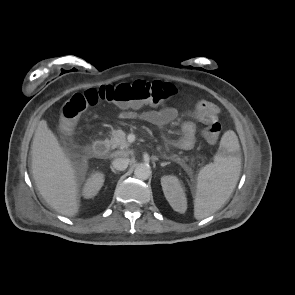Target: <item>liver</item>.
<instances>
[{
    "instance_id": "6515ba94",
    "label": "liver",
    "mask_w": 295,
    "mask_h": 295,
    "mask_svg": "<svg viewBox=\"0 0 295 295\" xmlns=\"http://www.w3.org/2000/svg\"><path fill=\"white\" fill-rule=\"evenodd\" d=\"M31 155L33 179L44 200L64 216L78 214L80 196L76 170L46 120L37 126Z\"/></svg>"
}]
</instances>
